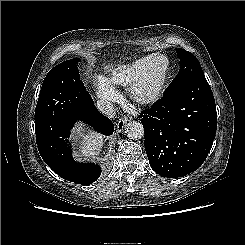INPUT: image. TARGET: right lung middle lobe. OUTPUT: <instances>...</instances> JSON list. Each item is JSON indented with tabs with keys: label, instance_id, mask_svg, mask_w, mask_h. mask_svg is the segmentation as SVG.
Wrapping results in <instances>:
<instances>
[{
	"label": "right lung middle lobe",
	"instance_id": "dd1d6c3e",
	"mask_svg": "<svg viewBox=\"0 0 245 245\" xmlns=\"http://www.w3.org/2000/svg\"><path fill=\"white\" fill-rule=\"evenodd\" d=\"M79 58L66 60L53 67L44 79L36 105L35 120L85 116L93 100L78 70Z\"/></svg>",
	"mask_w": 245,
	"mask_h": 245
}]
</instances>
